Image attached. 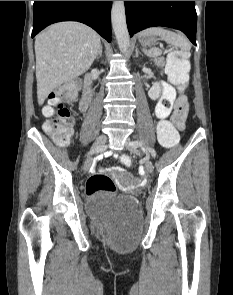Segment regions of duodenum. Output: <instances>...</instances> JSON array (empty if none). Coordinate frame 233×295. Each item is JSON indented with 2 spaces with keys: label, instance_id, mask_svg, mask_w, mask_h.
<instances>
[{
  "label": "duodenum",
  "instance_id": "410a0bca",
  "mask_svg": "<svg viewBox=\"0 0 233 295\" xmlns=\"http://www.w3.org/2000/svg\"><path fill=\"white\" fill-rule=\"evenodd\" d=\"M92 99V91L90 89H87L82 97L80 108L83 111H86L90 105Z\"/></svg>",
  "mask_w": 233,
  "mask_h": 295
}]
</instances>
